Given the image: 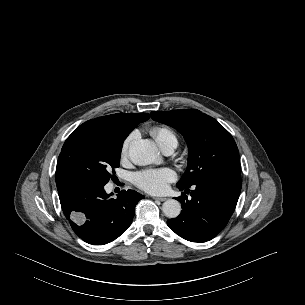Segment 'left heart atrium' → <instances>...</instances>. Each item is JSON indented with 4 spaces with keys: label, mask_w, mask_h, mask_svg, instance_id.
I'll list each match as a JSON object with an SVG mask.
<instances>
[{
    "label": "left heart atrium",
    "mask_w": 305,
    "mask_h": 305,
    "mask_svg": "<svg viewBox=\"0 0 305 305\" xmlns=\"http://www.w3.org/2000/svg\"><path fill=\"white\" fill-rule=\"evenodd\" d=\"M175 178V172L169 168L153 169L136 173L134 183L146 192L159 194L164 192Z\"/></svg>",
    "instance_id": "39dd6f15"
}]
</instances>
